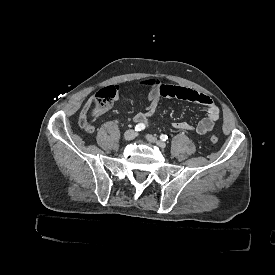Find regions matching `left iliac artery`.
<instances>
[{"label":"left iliac artery","instance_id":"1","mask_svg":"<svg viewBox=\"0 0 275 275\" xmlns=\"http://www.w3.org/2000/svg\"><path fill=\"white\" fill-rule=\"evenodd\" d=\"M160 139H161L162 141H166V140L168 139V136L165 135V134H161Z\"/></svg>","mask_w":275,"mask_h":275}]
</instances>
